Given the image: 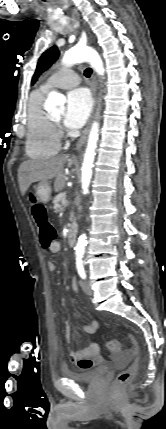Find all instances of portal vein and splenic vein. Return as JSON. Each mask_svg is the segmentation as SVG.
Segmentation results:
<instances>
[{"label":"portal vein and splenic vein","mask_w":166,"mask_h":429,"mask_svg":"<svg viewBox=\"0 0 166 429\" xmlns=\"http://www.w3.org/2000/svg\"><path fill=\"white\" fill-rule=\"evenodd\" d=\"M67 203V200L66 199H63V204H66Z\"/></svg>","instance_id":"1"}]
</instances>
